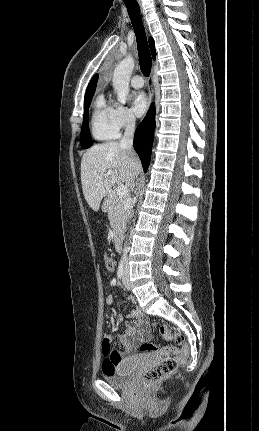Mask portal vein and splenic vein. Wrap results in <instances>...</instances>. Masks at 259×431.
Here are the masks:
<instances>
[{
  "mask_svg": "<svg viewBox=\"0 0 259 431\" xmlns=\"http://www.w3.org/2000/svg\"><path fill=\"white\" fill-rule=\"evenodd\" d=\"M112 174V171H108L105 173L100 179L103 180L105 177H108ZM116 194L120 197H123L127 194V187L124 185H120L116 189Z\"/></svg>",
  "mask_w": 259,
  "mask_h": 431,
  "instance_id": "18ae733b",
  "label": "portal vein and splenic vein"
}]
</instances>
